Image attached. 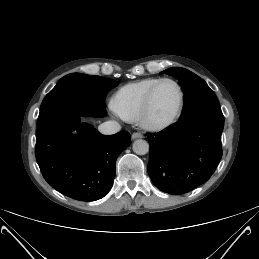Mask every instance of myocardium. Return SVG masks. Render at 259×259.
Instances as JSON below:
<instances>
[{
  "label": "myocardium",
  "instance_id": "obj_1",
  "mask_svg": "<svg viewBox=\"0 0 259 259\" xmlns=\"http://www.w3.org/2000/svg\"><path fill=\"white\" fill-rule=\"evenodd\" d=\"M164 82H170L177 88V91L179 94V101H178V106L176 111L169 119L161 122H156L151 119L153 99H154V94L156 89L159 87V85H161ZM183 108H184V92L181 85L172 78H161L148 91L139 117V122L141 126L147 130L162 131L172 126L179 119V117L182 114Z\"/></svg>",
  "mask_w": 259,
  "mask_h": 259
}]
</instances>
